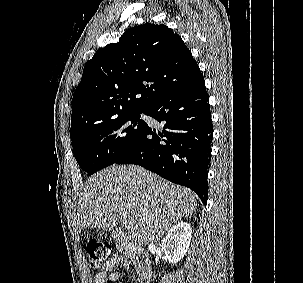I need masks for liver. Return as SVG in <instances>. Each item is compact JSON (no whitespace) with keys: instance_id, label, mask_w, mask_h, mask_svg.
<instances>
[{"instance_id":"obj_1","label":"liver","mask_w":303,"mask_h":283,"mask_svg":"<svg viewBox=\"0 0 303 283\" xmlns=\"http://www.w3.org/2000/svg\"><path fill=\"white\" fill-rule=\"evenodd\" d=\"M196 194L140 166H111L89 177L78 197L77 232L85 227L114 230L131 218L129 237L139 246L158 240L196 210Z\"/></svg>"}]
</instances>
